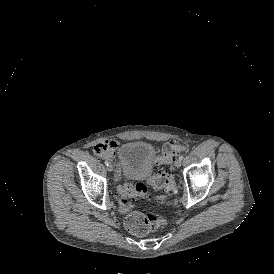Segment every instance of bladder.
<instances>
[{
    "label": "bladder",
    "mask_w": 274,
    "mask_h": 274,
    "mask_svg": "<svg viewBox=\"0 0 274 274\" xmlns=\"http://www.w3.org/2000/svg\"><path fill=\"white\" fill-rule=\"evenodd\" d=\"M123 165V179H146L155 169L154 147L143 140L125 141L116 150Z\"/></svg>",
    "instance_id": "31cf9c89"
}]
</instances>
